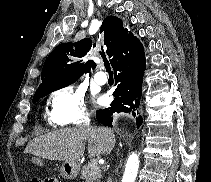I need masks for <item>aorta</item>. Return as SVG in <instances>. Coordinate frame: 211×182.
Returning <instances> with one entry per match:
<instances>
[{
    "label": "aorta",
    "instance_id": "762f6f07",
    "mask_svg": "<svg viewBox=\"0 0 211 182\" xmlns=\"http://www.w3.org/2000/svg\"><path fill=\"white\" fill-rule=\"evenodd\" d=\"M138 169H139V157L136 153H132L128 157L122 182H135Z\"/></svg>",
    "mask_w": 211,
    "mask_h": 182
}]
</instances>
